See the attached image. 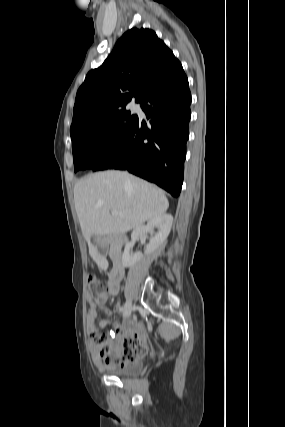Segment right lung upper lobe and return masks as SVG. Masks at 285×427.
Masks as SVG:
<instances>
[{
  "instance_id": "1",
  "label": "right lung upper lobe",
  "mask_w": 285,
  "mask_h": 427,
  "mask_svg": "<svg viewBox=\"0 0 285 427\" xmlns=\"http://www.w3.org/2000/svg\"><path fill=\"white\" fill-rule=\"evenodd\" d=\"M181 67L154 31L128 30L104 63L91 70L78 89L70 133L125 108L132 99L140 102L151 87Z\"/></svg>"
}]
</instances>
